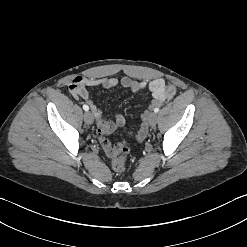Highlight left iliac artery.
Returning <instances> with one entry per match:
<instances>
[{
  "mask_svg": "<svg viewBox=\"0 0 247 247\" xmlns=\"http://www.w3.org/2000/svg\"><path fill=\"white\" fill-rule=\"evenodd\" d=\"M158 111H159V108L158 107L154 109V112L155 113H157Z\"/></svg>",
  "mask_w": 247,
  "mask_h": 247,
  "instance_id": "obj_1",
  "label": "left iliac artery"
}]
</instances>
